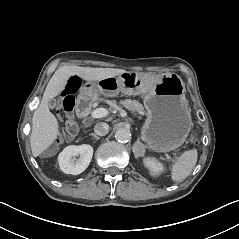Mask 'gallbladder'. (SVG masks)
<instances>
[{"label":"gallbladder","mask_w":239,"mask_h":239,"mask_svg":"<svg viewBox=\"0 0 239 239\" xmlns=\"http://www.w3.org/2000/svg\"><path fill=\"white\" fill-rule=\"evenodd\" d=\"M56 105H57L56 99L52 98V99H50V100L48 101V106H49V108H55Z\"/></svg>","instance_id":"gallbladder-1"}]
</instances>
